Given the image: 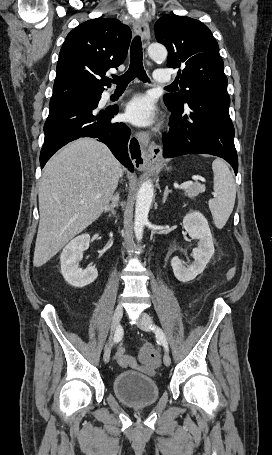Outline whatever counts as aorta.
I'll return each instance as SVG.
<instances>
[{
	"label": "aorta",
	"mask_w": 272,
	"mask_h": 455,
	"mask_svg": "<svg viewBox=\"0 0 272 455\" xmlns=\"http://www.w3.org/2000/svg\"><path fill=\"white\" fill-rule=\"evenodd\" d=\"M148 54L152 60L162 62L167 58V49L161 44L154 43L148 47ZM152 199L153 184L148 180L139 188L135 205L134 233L138 241L143 237L144 226L148 222Z\"/></svg>",
	"instance_id": "1"
}]
</instances>
